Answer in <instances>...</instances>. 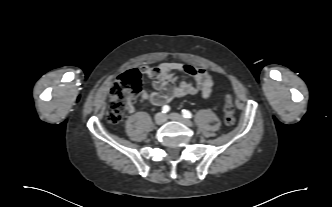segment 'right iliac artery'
Wrapping results in <instances>:
<instances>
[{
  "label": "right iliac artery",
  "mask_w": 332,
  "mask_h": 207,
  "mask_svg": "<svg viewBox=\"0 0 332 207\" xmlns=\"http://www.w3.org/2000/svg\"><path fill=\"white\" fill-rule=\"evenodd\" d=\"M169 110H170V107L168 105H165L162 107V113H167V112H169Z\"/></svg>",
  "instance_id": "obj_1"
}]
</instances>
